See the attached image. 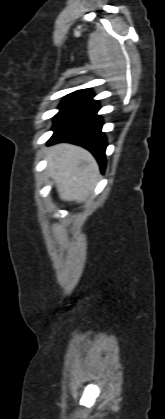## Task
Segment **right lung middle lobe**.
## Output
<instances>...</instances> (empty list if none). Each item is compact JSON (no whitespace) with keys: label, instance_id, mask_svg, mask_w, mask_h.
<instances>
[{"label":"right lung middle lobe","instance_id":"1","mask_svg":"<svg viewBox=\"0 0 165 419\" xmlns=\"http://www.w3.org/2000/svg\"><path fill=\"white\" fill-rule=\"evenodd\" d=\"M82 98H84L82 95H80V94H77V93H71V94H69V95H67L66 97H65V99L62 101V103L60 104V109L62 110V109H64V108H66L67 106H69V105H71V104H73V103H75V102H77L78 100H80V99H82Z\"/></svg>","mask_w":165,"mask_h":419}]
</instances>
